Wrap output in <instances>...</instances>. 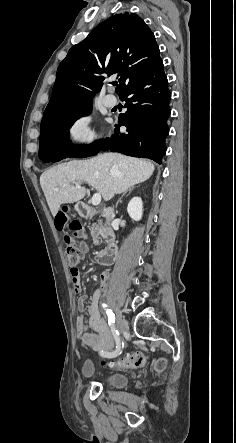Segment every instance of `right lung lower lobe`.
Instances as JSON below:
<instances>
[{
    "label": "right lung lower lobe",
    "mask_w": 236,
    "mask_h": 443,
    "mask_svg": "<svg viewBox=\"0 0 236 443\" xmlns=\"http://www.w3.org/2000/svg\"><path fill=\"white\" fill-rule=\"evenodd\" d=\"M128 108L115 125V135L88 146L55 145L39 150L44 162H57L67 157L82 158L111 150L135 157L149 158L161 163L166 152L165 138L169 133L167 119L170 116L171 94L160 59L150 70L131 81L119 94ZM126 126L128 134L119 136L120 126Z\"/></svg>",
    "instance_id": "1"
}]
</instances>
